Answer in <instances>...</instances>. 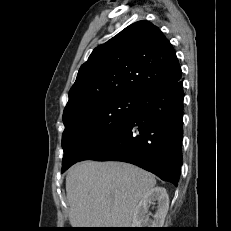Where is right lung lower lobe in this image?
I'll use <instances>...</instances> for the list:
<instances>
[{"label":"right lung lower lobe","instance_id":"98d812e1","mask_svg":"<svg viewBox=\"0 0 231 231\" xmlns=\"http://www.w3.org/2000/svg\"><path fill=\"white\" fill-rule=\"evenodd\" d=\"M183 99L181 80L141 92L135 113L79 161H123L177 185L182 165Z\"/></svg>","mask_w":231,"mask_h":231}]
</instances>
